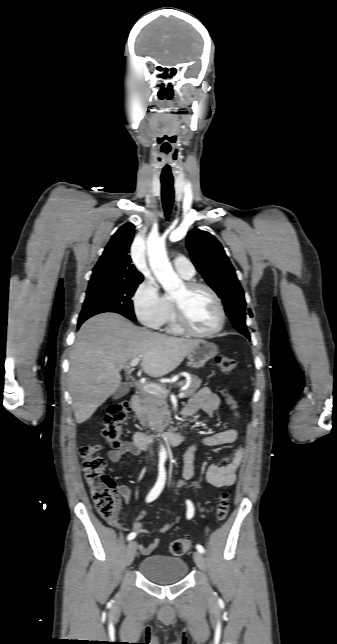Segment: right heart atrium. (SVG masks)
<instances>
[{
	"label": "right heart atrium",
	"mask_w": 337,
	"mask_h": 644,
	"mask_svg": "<svg viewBox=\"0 0 337 644\" xmlns=\"http://www.w3.org/2000/svg\"><path fill=\"white\" fill-rule=\"evenodd\" d=\"M133 301L135 313L143 325L154 329L162 326L168 305L155 280L143 281L136 289Z\"/></svg>",
	"instance_id": "right-heart-atrium-1"
}]
</instances>
